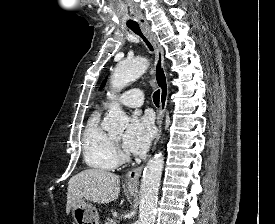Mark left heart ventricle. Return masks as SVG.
<instances>
[{
	"instance_id": "obj_1",
	"label": "left heart ventricle",
	"mask_w": 275,
	"mask_h": 224,
	"mask_svg": "<svg viewBox=\"0 0 275 224\" xmlns=\"http://www.w3.org/2000/svg\"><path fill=\"white\" fill-rule=\"evenodd\" d=\"M112 136H113V138H115V139L119 140V139H120V137H121V133L114 134V135H112Z\"/></svg>"
}]
</instances>
